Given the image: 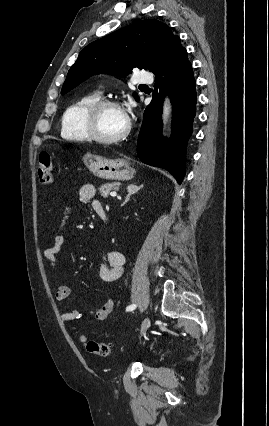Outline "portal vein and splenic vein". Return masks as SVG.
Returning a JSON list of instances; mask_svg holds the SVG:
<instances>
[{
    "instance_id": "1",
    "label": "portal vein and splenic vein",
    "mask_w": 269,
    "mask_h": 426,
    "mask_svg": "<svg viewBox=\"0 0 269 426\" xmlns=\"http://www.w3.org/2000/svg\"><path fill=\"white\" fill-rule=\"evenodd\" d=\"M116 195H117V193H116V192H111V193H110V196H111V197H115Z\"/></svg>"
}]
</instances>
